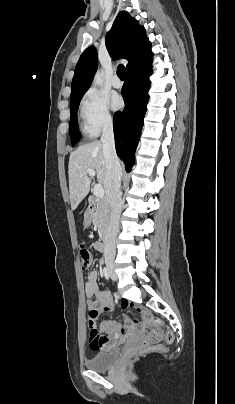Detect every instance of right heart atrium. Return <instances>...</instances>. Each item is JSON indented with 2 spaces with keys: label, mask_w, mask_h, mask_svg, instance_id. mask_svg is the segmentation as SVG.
Segmentation results:
<instances>
[{
  "label": "right heart atrium",
  "mask_w": 235,
  "mask_h": 404,
  "mask_svg": "<svg viewBox=\"0 0 235 404\" xmlns=\"http://www.w3.org/2000/svg\"><path fill=\"white\" fill-rule=\"evenodd\" d=\"M80 109L88 129L93 135L110 128L113 124L108 99L95 89H90L84 94Z\"/></svg>",
  "instance_id": "1"
}]
</instances>
